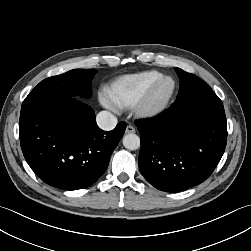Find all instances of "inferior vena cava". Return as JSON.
<instances>
[{"label":"inferior vena cava","mask_w":251,"mask_h":251,"mask_svg":"<svg viewBox=\"0 0 251 251\" xmlns=\"http://www.w3.org/2000/svg\"><path fill=\"white\" fill-rule=\"evenodd\" d=\"M97 125L105 131L113 130L117 124V118L108 111H101L96 116Z\"/></svg>","instance_id":"obj_1"}]
</instances>
